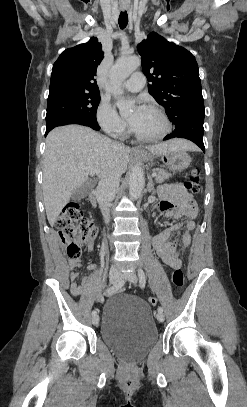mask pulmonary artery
Instances as JSON below:
<instances>
[{
    "mask_svg": "<svg viewBox=\"0 0 247 407\" xmlns=\"http://www.w3.org/2000/svg\"><path fill=\"white\" fill-rule=\"evenodd\" d=\"M145 84V77L142 72H135L132 76L123 82V87L131 92L140 91Z\"/></svg>",
    "mask_w": 247,
    "mask_h": 407,
    "instance_id": "pulmonary-artery-1",
    "label": "pulmonary artery"
}]
</instances>
